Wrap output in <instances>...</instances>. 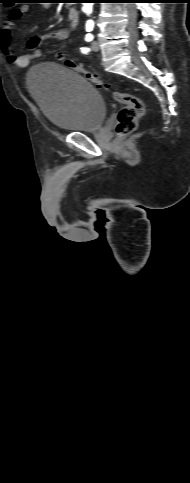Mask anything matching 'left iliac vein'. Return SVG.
Here are the masks:
<instances>
[{
  "label": "left iliac vein",
  "instance_id": "4c4485c4",
  "mask_svg": "<svg viewBox=\"0 0 190 483\" xmlns=\"http://www.w3.org/2000/svg\"><path fill=\"white\" fill-rule=\"evenodd\" d=\"M91 49H92L93 51H99L100 47H99V43H98V41H93V42L91 43Z\"/></svg>",
  "mask_w": 190,
  "mask_h": 483
}]
</instances>
